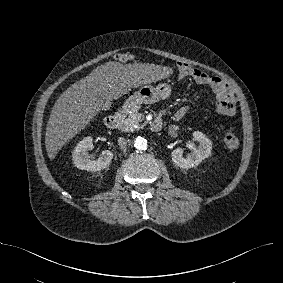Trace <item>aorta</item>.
Masks as SVG:
<instances>
[{
    "label": "aorta",
    "mask_w": 283,
    "mask_h": 283,
    "mask_svg": "<svg viewBox=\"0 0 283 283\" xmlns=\"http://www.w3.org/2000/svg\"><path fill=\"white\" fill-rule=\"evenodd\" d=\"M134 146L137 150L139 151H145L147 150L148 144H147V140L143 137H137L134 141Z\"/></svg>",
    "instance_id": "762f6f07"
}]
</instances>
